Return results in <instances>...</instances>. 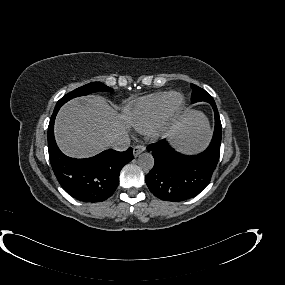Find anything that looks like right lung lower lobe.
Wrapping results in <instances>:
<instances>
[{
    "mask_svg": "<svg viewBox=\"0 0 285 285\" xmlns=\"http://www.w3.org/2000/svg\"><path fill=\"white\" fill-rule=\"evenodd\" d=\"M61 106H56L48 126V151L54 174L62 188L82 202H101L112 196L123 166L134 159L132 148L124 152L106 150L86 159L64 155L54 139V121Z\"/></svg>",
    "mask_w": 285,
    "mask_h": 285,
    "instance_id": "obj_1",
    "label": "right lung lower lobe"
}]
</instances>
